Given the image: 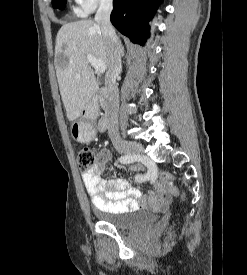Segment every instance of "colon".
I'll list each match as a JSON object with an SVG mask.
<instances>
[{"mask_svg":"<svg viewBox=\"0 0 247 275\" xmlns=\"http://www.w3.org/2000/svg\"><path fill=\"white\" fill-rule=\"evenodd\" d=\"M77 162L82 171L89 170L95 164V155L93 151L87 147L80 150L77 156ZM159 180L171 194H178V189L173 184L174 176L171 173H162Z\"/></svg>","mask_w":247,"mask_h":275,"instance_id":"colon-1","label":"colon"}]
</instances>
